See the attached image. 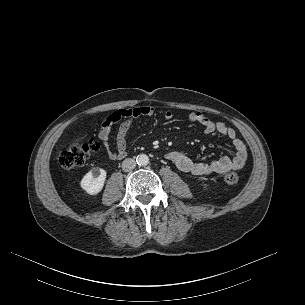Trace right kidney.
<instances>
[{
	"instance_id": "ca27d5eb",
	"label": "right kidney",
	"mask_w": 305,
	"mask_h": 305,
	"mask_svg": "<svg viewBox=\"0 0 305 305\" xmlns=\"http://www.w3.org/2000/svg\"><path fill=\"white\" fill-rule=\"evenodd\" d=\"M106 171L104 169L94 167L81 180L80 185L90 195L98 194L104 186L106 179Z\"/></svg>"
}]
</instances>
